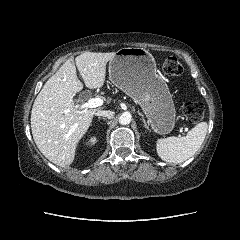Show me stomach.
Wrapping results in <instances>:
<instances>
[{
    "label": "stomach",
    "instance_id": "stomach-1",
    "mask_svg": "<svg viewBox=\"0 0 240 240\" xmlns=\"http://www.w3.org/2000/svg\"><path fill=\"white\" fill-rule=\"evenodd\" d=\"M111 82L138 103L161 135L170 133L175 123V106L166 82L157 75L154 57L145 48L127 47L109 62Z\"/></svg>",
    "mask_w": 240,
    "mask_h": 240
}]
</instances>
